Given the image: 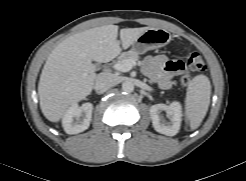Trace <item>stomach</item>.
Masks as SVG:
<instances>
[{"mask_svg":"<svg viewBox=\"0 0 246 181\" xmlns=\"http://www.w3.org/2000/svg\"><path fill=\"white\" fill-rule=\"evenodd\" d=\"M170 40L171 35L168 31L150 28L133 43L132 50L138 54H142L150 49L163 47L167 45Z\"/></svg>","mask_w":246,"mask_h":181,"instance_id":"stomach-1","label":"stomach"}]
</instances>
